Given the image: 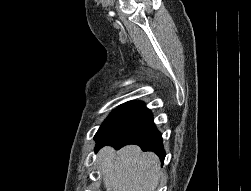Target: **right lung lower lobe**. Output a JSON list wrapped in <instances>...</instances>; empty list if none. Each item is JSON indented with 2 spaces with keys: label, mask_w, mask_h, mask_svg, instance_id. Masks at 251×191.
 Here are the masks:
<instances>
[{
  "label": "right lung lower lobe",
  "mask_w": 251,
  "mask_h": 191,
  "mask_svg": "<svg viewBox=\"0 0 251 191\" xmlns=\"http://www.w3.org/2000/svg\"><path fill=\"white\" fill-rule=\"evenodd\" d=\"M135 144L140 146L143 151H152L158 155L161 164L164 162L165 150L162 143V135L156 129L153 122V116L149 109L141 113L131 124L123 129L105 144L99 146L96 150L105 145L120 149L125 145Z\"/></svg>",
  "instance_id": "1"
}]
</instances>
